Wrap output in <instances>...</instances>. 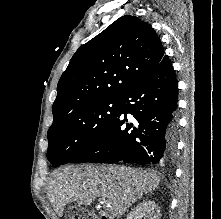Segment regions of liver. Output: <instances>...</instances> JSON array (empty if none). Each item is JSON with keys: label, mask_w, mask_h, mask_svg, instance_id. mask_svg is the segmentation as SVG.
<instances>
[{"label": "liver", "mask_w": 221, "mask_h": 219, "mask_svg": "<svg viewBox=\"0 0 221 219\" xmlns=\"http://www.w3.org/2000/svg\"><path fill=\"white\" fill-rule=\"evenodd\" d=\"M159 183L156 174L126 166H69L54 172L47 195L60 217L68 203L89 206L98 197L119 218Z\"/></svg>", "instance_id": "obj_1"}]
</instances>
